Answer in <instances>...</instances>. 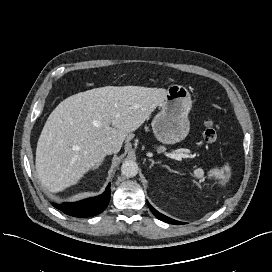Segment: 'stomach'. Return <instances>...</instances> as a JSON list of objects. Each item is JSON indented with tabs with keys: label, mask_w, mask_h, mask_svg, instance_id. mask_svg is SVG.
<instances>
[{
	"label": "stomach",
	"mask_w": 272,
	"mask_h": 272,
	"mask_svg": "<svg viewBox=\"0 0 272 272\" xmlns=\"http://www.w3.org/2000/svg\"><path fill=\"white\" fill-rule=\"evenodd\" d=\"M192 106L186 87L173 84L159 104L160 111L151 126L156 139L163 144H175L186 138L190 130L188 114Z\"/></svg>",
	"instance_id": "1"
}]
</instances>
